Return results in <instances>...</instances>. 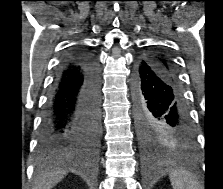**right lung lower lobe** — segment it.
Listing matches in <instances>:
<instances>
[{
  "label": "right lung lower lobe",
  "instance_id": "1",
  "mask_svg": "<svg viewBox=\"0 0 223 189\" xmlns=\"http://www.w3.org/2000/svg\"><path fill=\"white\" fill-rule=\"evenodd\" d=\"M74 66L78 69L70 71ZM100 118L97 63L90 54L74 50L61 62L49 90L39 134L41 151L87 148L94 153Z\"/></svg>",
  "mask_w": 223,
  "mask_h": 189
}]
</instances>
